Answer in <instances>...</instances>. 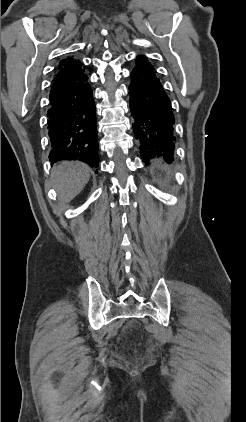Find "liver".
Segmentation results:
<instances>
[{"mask_svg": "<svg viewBox=\"0 0 246 422\" xmlns=\"http://www.w3.org/2000/svg\"><path fill=\"white\" fill-rule=\"evenodd\" d=\"M90 178V168L81 162L63 161L51 171V181L61 203H68L85 187Z\"/></svg>", "mask_w": 246, "mask_h": 422, "instance_id": "obj_1", "label": "liver"}]
</instances>
